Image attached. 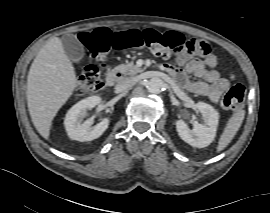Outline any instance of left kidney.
<instances>
[{
    "label": "left kidney",
    "mask_w": 270,
    "mask_h": 213,
    "mask_svg": "<svg viewBox=\"0 0 270 213\" xmlns=\"http://www.w3.org/2000/svg\"><path fill=\"white\" fill-rule=\"evenodd\" d=\"M197 110L203 116V123L193 122V129H190L185 121L178 120L176 122V130L180 138L189 145L197 148H204L213 142L217 126L219 113L209 104L198 102Z\"/></svg>",
    "instance_id": "left-kidney-1"
}]
</instances>
